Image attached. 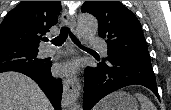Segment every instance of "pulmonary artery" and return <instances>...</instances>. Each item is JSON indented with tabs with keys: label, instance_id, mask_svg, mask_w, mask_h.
<instances>
[{
	"label": "pulmonary artery",
	"instance_id": "pulmonary-artery-1",
	"mask_svg": "<svg viewBox=\"0 0 171 110\" xmlns=\"http://www.w3.org/2000/svg\"><path fill=\"white\" fill-rule=\"evenodd\" d=\"M90 44L100 50L103 56H107L108 48L103 40L95 37L90 38ZM57 53V50L51 48L50 46L43 51L44 56H52Z\"/></svg>",
	"mask_w": 171,
	"mask_h": 110
}]
</instances>
